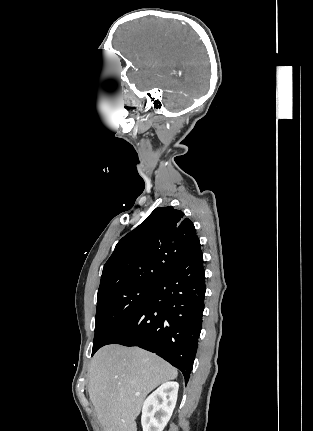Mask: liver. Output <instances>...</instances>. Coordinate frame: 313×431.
I'll return each instance as SVG.
<instances>
[{
  "instance_id": "obj_1",
  "label": "liver",
  "mask_w": 313,
  "mask_h": 431,
  "mask_svg": "<svg viewBox=\"0 0 313 431\" xmlns=\"http://www.w3.org/2000/svg\"><path fill=\"white\" fill-rule=\"evenodd\" d=\"M177 375L174 367L141 348L112 344L99 349L88 370V391L104 431H137L135 419L146 396Z\"/></svg>"
}]
</instances>
